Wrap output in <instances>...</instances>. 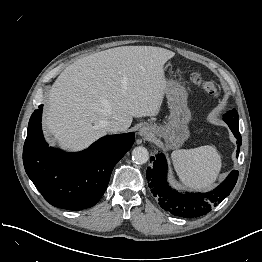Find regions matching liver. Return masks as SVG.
I'll return each instance as SVG.
<instances>
[{
  "instance_id": "6515ba94",
  "label": "liver",
  "mask_w": 262,
  "mask_h": 262,
  "mask_svg": "<svg viewBox=\"0 0 262 262\" xmlns=\"http://www.w3.org/2000/svg\"><path fill=\"white\" fill-rule=\"evenodd\" d=\"M175 53L153 46H122L69 65L49 92L44 125L63 148L79 150L107 134L117 120L158 114L165 94L164 64Z\"/></svg>"
}]
</instances>
